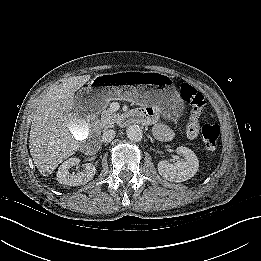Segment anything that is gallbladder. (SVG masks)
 <instances>
[{
  "label": "gallbladder",
  "instance_id": "gallbladder-1",
  "mask_svg": "<svg viewBox=\"0 0 261 261\" xmlns=\"http://www.w3.org/2000/svg\"><path fill=\"white\" fill-rule=\"evenodd\" d=\"M66 125L69 128L71 134L78 141L85 140L89 135L88 124L75 113H72L68 116Z\"/></svg>",
  "mask_w": 261,
  "mask_h": 261
}]
</instances>
